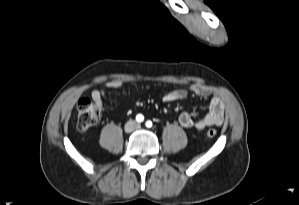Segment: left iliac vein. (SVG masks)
<instances>
[{
	"label": "left iliac vein",
	"instance_id": "obj_1",
	"mask_svg": "<svg viewBox=\"0 0 299 205\" xmlns=\"http://www.w3.org/2000/svg\"><path fill=\"white\" fill-rule=\"evenodd\" d=\"M137 129H139V128H141V126L140 125H137V127H136Z\"/></svg>",
	"mask_w": 299,
	"mask_h": 205
}]
</instances>
